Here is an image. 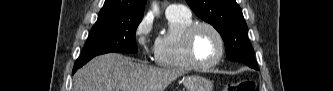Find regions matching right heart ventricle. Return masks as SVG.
Returning <instances> with one entry per match:
<instances>
[{
	"mask_svg": "<svg viewBox=\"0 0 333 91\" xmlns=\"http://www.w3.org/2000/svg\"><path fill=\"white\" fill-rule=\"evenodd\" d=\"M169 31L155 41V63L167 69L182 71L194 67L188 62L184 52V33L193 23L191 14H167Z\"/></svg>",
	"mask_w": 333,
	"mask_h": 91,
	"instance_id": "right-heart-ventricle-1",
	"label": "right heart ventricle"
}]
</instances>
